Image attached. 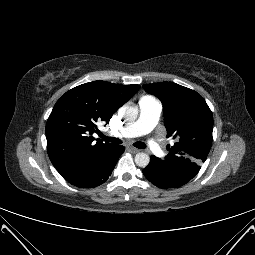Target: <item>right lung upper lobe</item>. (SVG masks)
I'll return each instance as SVG.
<instances>
[{
  "instance_id": "cb5924a9",
  "label": "right lung upper lobe",
  "mask_w": 255,
  "mask_h": 255,
  "mask_svg": "<svg viewBox=\"0 0 255 255\" xmlns=\"http://www.w3.org/2000/svg\"><path fill=\"white\" fill-rule=\"evenodd\" d=\"M140 88L93 81L67 91L55 104L46 124L47 150L57 171L68 177L106 156L115 144L92 134L97 122L109 123L114 112Z\"/></svg>"
}]
</instances>
